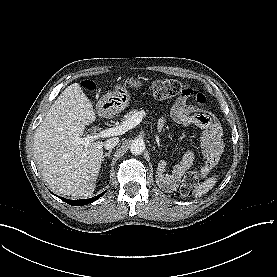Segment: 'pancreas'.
Returning <instances> with one entry per match:
<instances>
[{"label":"pancreas","mask_w":277,"mask_h":277,"mask_svg":"<svg viewBox=\"0 0 277 277\" xmlns=\"http://www.w3.org/2000/svg\"><path fill=\"white\" fill-rule=\"evenodd\" d=\"M139 112L137 109H131L124 117L122 118V121L128 120L130 117H132L135 113Z\"/></svg>","instance_id":"pancreas-1"}]
</instances>
